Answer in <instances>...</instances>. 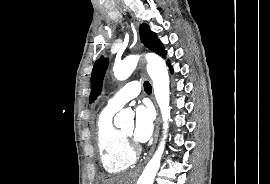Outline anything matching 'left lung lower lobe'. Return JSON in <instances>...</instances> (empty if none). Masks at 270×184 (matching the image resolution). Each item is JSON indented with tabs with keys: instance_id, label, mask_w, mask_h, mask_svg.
Masks as SVG:
<instances>
[{
	"instance_id": "1",
	"label": "left lung lower lobe",
	"mask_w": 270,
	"mask_h": 184,
	"mask_svg": "<svg viewBox=\"0 0 270 184\" xmlns=\"http://www.w3.org/2000/svg\"><path fill=\"white\" fill-rule=\"evenodd\" d=\"M168 63V65H169V67H170V71L171 72H173V68H172V66L170 65V63L169 62H167Z\"/></svg>"
}]
</instances>
